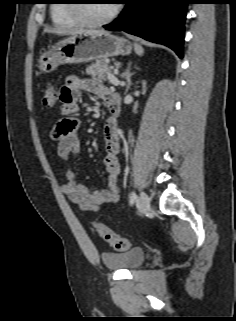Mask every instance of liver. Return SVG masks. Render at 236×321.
Here are the masks:
<instances>
[{"label": "liver", "instance_id": "obj_1", "mask_svg": "<svg viewBox=\"0 0 236 321\" xmlns=\"http://www.w3.org/2000/svg\"><path fill=\"white\" fill-rule=\"evenodd\" d=\"M44 32H49V33H54V34H76V33H87L91 35H101V34H107L109 33L108 31L105 30H87V29H80V30H70V31H60L57 29H46Z\"/></svg>", "mask_w": 236, "mask_h": 321}]
</instances>
